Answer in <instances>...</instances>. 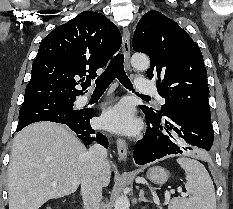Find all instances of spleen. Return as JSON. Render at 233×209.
<instances>
[{
	"label": "spleen",
	"instance_id": "1",
	"mask_svg": "<svg viewBox=\"0 0 233 209\" xmlns=\"http://www.w3.org/2000/svg\"><path fill=\"white\" fill-rule=\"evenodd\" d=\"M178 164L186 174L189 198H173L169 209H216L213 181L205 167L197 160L180 157Z\"/></svg>",
	"mask_w": 233,
	"mask_h": 209
}]
</instances>
